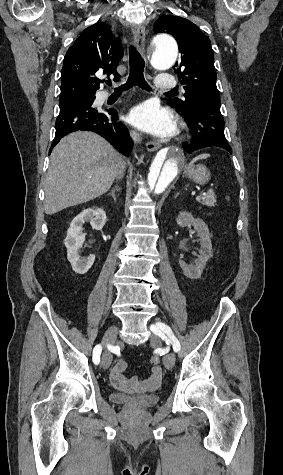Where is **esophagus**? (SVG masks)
Instances as JSON below:
<instances>
[{
	"label": "esophagus",
	"instance_id": "obj_1",
	"mask_svg": "<svg viewBox=\"0 0 283 475\" xmlns=\"http://www.w3.org/2000/svg\"><path fill=\"white\" fill-rule=\"evenodd\" d=\"M132 33H133V42L141 55L145 56V39H146V32L144 25L133 24L132 25ZM161 147L160 142H147L146 148L149 152H153L158 150Z\"/></svg>",
	"mask_w": 283,
	"mask_h": 475
}]
</instances>
